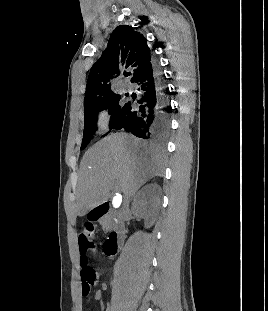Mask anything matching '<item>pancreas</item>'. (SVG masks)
I'll list each match as a JSON object with an SVG mask.
<instances>
[{"label":"pancreas","instance_id":"1","mask_svg":"<svg viewBox=\"0 0 268 311\" xmlns=\"http://www.w3.org/2000/svg\"><path fill=\"white\" fill-rule=\"evenodd\" d=\"M110 225H111L110 219L107 218L102 221V226L104 230H108L110 228Z\"/></svg>","mask_w":268,"mask_h":311}]
</instances>
